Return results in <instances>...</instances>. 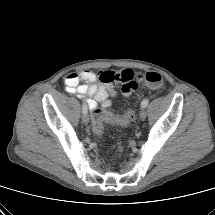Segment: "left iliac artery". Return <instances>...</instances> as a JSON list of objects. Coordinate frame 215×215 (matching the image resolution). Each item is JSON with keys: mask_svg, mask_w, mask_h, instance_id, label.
Here are the masks:
<instances>
[{"mask_svg": "<svg viewBox=\"0 0 215 215\" xmlns=\"http://www.w3.org/2000/svg\"><path fill=\"white\" fill-rule=\"evenodd\" d=\"M148 103H149V100H148V99H144V100L141 102V106L145 108V107L148 105Z\"/></svg>", "mask_w": 215, "mask_h": 215, "instance_id": "1", "label": "left iliac artery"}]
</instances>
